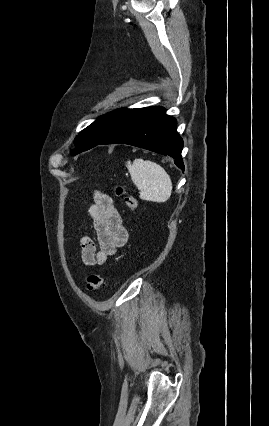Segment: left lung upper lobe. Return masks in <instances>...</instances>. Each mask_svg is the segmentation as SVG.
<instances>
[{
    "label": "left lung upper lobe",
    "instance_id": "1",
    "mask_svg": "<svg viewBox=\"0 0 269 426\" xmlns=\"http://www.w3.org/2000/svg\"><path fill=\"white\" fill-rule=\"evenodd\" d=\"M122 111L123 109H119L103 115L82 130L74 140L77 149L71 150V154L75 155L97 146L107 136Z\"/></svg>",
    "mask_w": 269,
    "mask_h": 426
}]
</instances>
